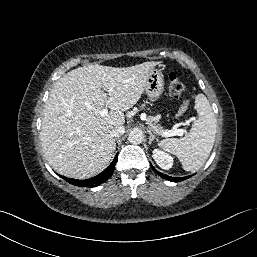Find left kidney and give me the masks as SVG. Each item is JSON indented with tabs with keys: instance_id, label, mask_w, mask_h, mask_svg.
I'll return each mask as SVG.
<instances>
[{
	"instance_id": "1",
	"label": "left kidney",
	"mask_w": 257,
	"mask_h": 257,
	"mask_svg": "<svg viewBox=\"0 0 257 257\" xmlns=\"http://www.w3.org/2000/svg\"><path fill=\"white\" fill-rule=\"evenodd\" d=\"M152 156L157 165L164 170H169L173 165V157L160 149H154Z\"/></svg>"
}]
</instances>
